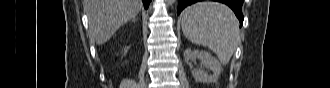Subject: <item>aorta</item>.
Returning <instances> with one entry per match:
<instances>
[{
	"label": "aorta",
	"mask_w": 330,
	"mask_h": 88,
	"mask_svg": "<svg viewBox=\"0 0 330 88\" xmlns=\"http://www.w3.org/2000/svg\"><path fill=\"white\" fill-rule=\"evenodd\" d=\"M168 4L171 5L175 2V0H167Z\"/></svg>",
	"instance_id": "obj_1"
}]
</instances>
